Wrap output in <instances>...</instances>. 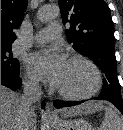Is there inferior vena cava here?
Returning <instances> with one entry per match:
<instances>
[{
    "instance_id": "inferior-vena-cava-1",
    "label": "inferior vena cava",
    "mask_w": 123,
    "mask_h": 130,
    "mask_svg": "<svg viewBox=\"0 0 123 130\" xmlns=\"http://www.w3.org/2000/svg\"><path fill=\"white\" fill-rule=\"evenodd\" d=\"M42 96L41 87L38 82L24 81L23 82V109L21 113V122L19 130H31L30 128V116L31 111L34 110L32 107Z\"/></svg>"
}]
</instances>
